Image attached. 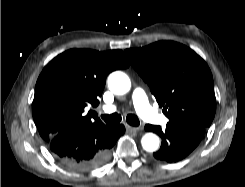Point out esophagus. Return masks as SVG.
<instances>
[{"label":"esophagus","mask_w":245,"mask_h":187,"mask_svg":"<svg viewBox=\"0 0 245 187\" xmlns=\"http://www.w3.org/2000/svg\"><path fill=\"white\" fill-rule=\"evenodd\" d=\"M126 130L129 131V132H136V131L143 130V128L142 127H134V126L126 125Z\"/></svg>","instance_id":"obj_1"}]
</instances>
